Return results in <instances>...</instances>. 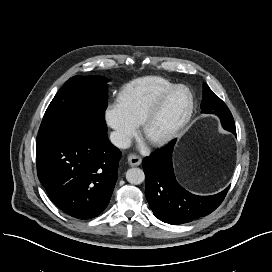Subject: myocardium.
Segmentation results:
<instances>
[{"mask_svg":"<svg viewBox=\"0 0 272 272\" xmlns=\"http://www.w3.org/2000/svg\"><path fill=\"white\" fill-rule=\"evenodd\" d=\"M181 97L183 105L180 117L170 127L162 131H154L153 127L161 112L176 97ZM193 109V96L184 85L173 86L166 92L148 111L142 124L141 133L143 137L153 145L162 144L174 137L188 122Z\"/></svg>","mask_w":272,"mask_h":272,"instance_id":"myocardium-1","label":"myocardium"}]
</instances>
